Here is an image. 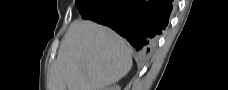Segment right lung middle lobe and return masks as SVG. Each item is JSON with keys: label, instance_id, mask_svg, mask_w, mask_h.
Segmentation results:
<instances>
[{"label": "right lung middle lobe", "instance_id": "dd1d6c3e", "mask_svg": "<svg viewBox=\"0 0 228 90\" xmlns=\"http://www.w3.org/2000/svg\"><path fill=\"white\" fill-rule=\"evenodd\" d=\"M104 0H76V7L82 15L93 12L102 6Z\"/></svg>", "mask_w": 228, "mask_h": 90}]
</instances>
